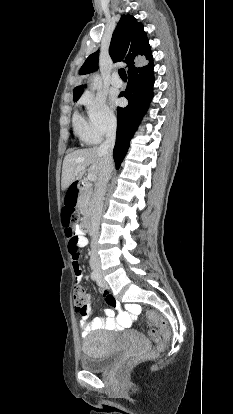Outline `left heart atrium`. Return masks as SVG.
Here are the masks:
<instances>
[{
  "label": "left heart atrium",
  "instance_id": "obj_1",
  "mask_svg": "<svg viewBox=\"0 0 233 414\" xmlns=\"http://www.w3.org/2000/svg\"><path fill=\"white\" fill-rule=\"evenodd\" d=\"M111 102H112L113 105L117 106V105L120 104V99L117 98L116 96H112Z\"/></svg>",
  "mask_w": 233,
  "mask_h": 414
}]
</instances>
